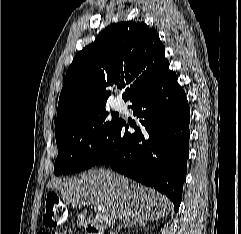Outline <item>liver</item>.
Instances as JSON below:
<instances>
[{
    "label": "liver",
    "mask_w": 241,
    "mask_h": 234,
    "mask_svg": "<svg viewBox=\"0 0 241 234\" xmlns=\"http://www.w3.org/2000/svg\"><path fill=\"white\" fill-rule=\"evenodd\" d=\"M48 187L59 191L62 200L73 208L99 207L108 228L118 219L127 223L158 220L171 209L166 196L110 169H90L71 179L51 181Z\"/></svg>",
    "instance_id": "liver-1"
}]
</instances>
